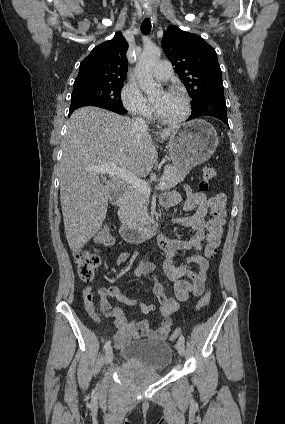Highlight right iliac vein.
Wrapping results in <instances>:
<instances>
[{"label": "right iliac vein", "mask_w": 285, "mask_h": 424, "mask_svg": "<svg viewBox=\"0 0 285 424\" xmlns=\"http://www.w3.org/2000/svg\"><path fill=\"white\" fill-rule=\"evenodd\" d=\"M113 360V350L112 348H109L106 351L105 357H104V362L106 365H108L111 361Z\"/></svg>", "instance_id": "right-iliac-vein-1"}]
</instances>
